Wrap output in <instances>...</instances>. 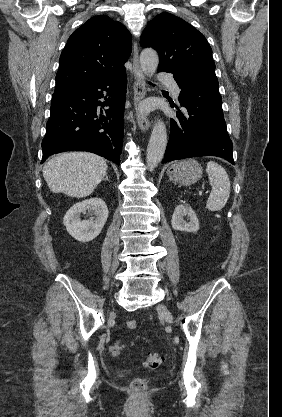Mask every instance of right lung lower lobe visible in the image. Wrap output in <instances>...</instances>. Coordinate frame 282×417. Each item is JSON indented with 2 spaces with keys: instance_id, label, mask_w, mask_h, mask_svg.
<instances>
[{
  "instance_id": "1",
  "label": "right lung lower lobe",
  "mask_w": 282,
  "mask_h": 417,
  "mask_svg": "<svg viewBox=\"0 0 282 417\" xmlns=\"http://www.w3.org/2000/svg\"><path fill=\"white\" fill-rule=\"evenodd\" d=\"M126 85L124 72L55 92L42 141L41 163L52 154L76 150L98 154L119 165ZM101 98L106 102L99 101ZM98 106H109L99 119Z\"/></svg>"
}]
</instances>
